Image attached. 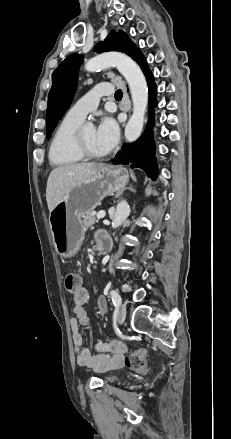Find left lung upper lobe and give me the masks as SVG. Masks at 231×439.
Instances as JSON below:
<instances>
[{"instance_id": "1", "label": "left lung upper lobe", "mask_w": 231, "mask_h": 439, "mask_svg": "<svg viewBox=\"0 0 231 439\" xmlns=\"http://www.w3.org/2000/svg\"><path fill=\"white\" fill-rule=\"evenodd\" d=\"M95 51L98 53L120 51L134 60L140 54V50L123 31H111L107 38L96 46ZM81 63L82 56L72 54L55 69L52 75V87L48 95L46 114L48 139L73 100Z\"/></svg>"}]
</instances>
